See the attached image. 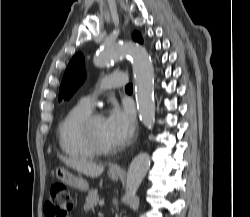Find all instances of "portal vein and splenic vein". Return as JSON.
<instances>
[{
	"mask_svg": "<svg viewBox=\"0 0 250 217\" xmlns=\"http://www.w3.org/2000/svg\"><path fill=\"white\" fill-rule=\"evenodd\" d=\"M104 205V200H100L99 201V206H103Z\"/></svg>",
	"mask_w": 250,
	"mask_h": 217,
	"instance_id": "1",
	"label": "portal vein and splenic vein"
}]
</instances>
